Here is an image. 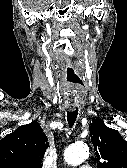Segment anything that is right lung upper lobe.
Wrapping results in <instances>:
<instances>
[{
  "label": "right lung upper lobe",
  "instance_id": "obj_1",
  "mask_svg": "<svg viewBox=\"0 0 127 168\" xmlns=\"http://www.w3.org/2000/svg\"><path fill=\"white\" fill-rule=\"evenodd\" d=\"M47 136L34 121L0 140V168H42Z\"/></svg>",
  "mask_w": 127,
  "mask_h": 168
}]
</instances>
